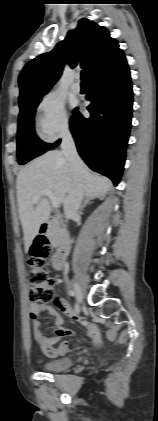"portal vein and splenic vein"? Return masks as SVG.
Wrapping results in <instances>:
<instances>
[{
    "label": "portal vein and splenic vein",
    "instance_id": "1",
    "mask_svg": "<svg viewBox=\"0 0 158 421\" xmlns=\"http://www.w3.org/2000/svg\"><path fill=\"white\" fill-rule=\"evenodd\" d=\"M41 196H46V197H48L50 200H51V202H52V206L54 207V208H58L59 206H60V201L54 196V194L52 193V191L51 190H49V189H44V190H41L40 192H39V194L38 195H36L34 198H33V203H37L38 201H39V198L41 197Z\"/></svg>",
    "mask_w": 158,
    "mask_h": 421
}]
</instances>
